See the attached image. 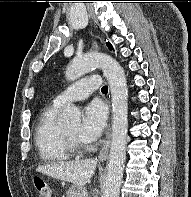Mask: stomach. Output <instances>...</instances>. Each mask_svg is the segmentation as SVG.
I'll list each match as a JSON object with an SVG mask.
<instances>
[{
	"instance_id": "stomach-1",
	"label": "stomach",
	"mask_w": 191,
	"mask_h": 197,
	"mask_svg": "<svg viewBox=\"0 0 191 197\" xmlns=\"http://www.w3.org/2000/svg\"><path fill=\"white\" fill-rule=\"evenodd\" d=\"M67 197H86V189L83 186L72 184L67 192Z\"/></svg>"
}]
</instances>
